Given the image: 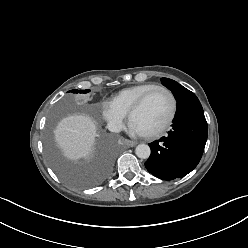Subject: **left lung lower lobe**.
Masks as SVG:
<instances>
[{
  "mask_svg": "<svg viewBox=\"0 0 248 248\" xmlns=\"http://www.w3.org/2000/svg\"><path fill=\"white\" fill-rule=\"evenodd\" d=\"M207 122L203 108L192 92L177 102L172 130L149 144L151 155L145 167L162 180L181 178L199 163L207 140Z\"/></svg>",
  "mask_w": 248,
  "mask_h": 248,
  "instance_id": "left-lung-lower-lobe-1",
  "label": "left lung lower lobe"
}]
</instances>
